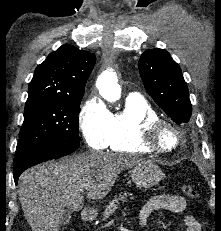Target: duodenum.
<instances>
[{
	"instance_id": "410a0bca",
	"label": "duodenum",
	"mask_w": 221,
	"mask_h": 231,
	"mask_svg": "<svg viewBox=\"0 0 221 231\" xmlns=\"http://www.w3.org/2000/svg\"><path fill=\"white\" fill-rule=\"evenodd\" d=\"M82 219L85 222H90L93 219L92 211L88 208L82 210Z\"/></svg>"
}]
</instances>
